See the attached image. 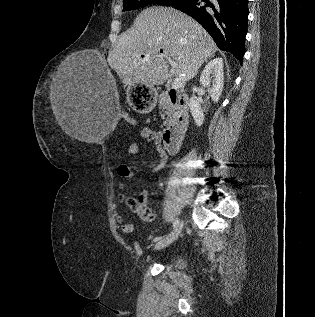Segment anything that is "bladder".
Segmentation results:
<instances>
[{
  "instance_id": "obj_1",
  "label": "bladder",
  "mask_w": 315,
  "mask_h": 317,
  "mask_svg": "<svg viewBox=\"0 0 315 317\" xmlns=\"http://www.w3.org/2000/svg\"><path fill=\"white\" fill-rule=\"evenodd\" d=\"M172 264L177 268H181L183 266V260L181 258H175L172 260Z\"/></svg>"
}]
</instances>
